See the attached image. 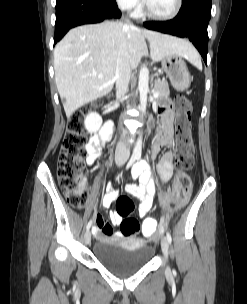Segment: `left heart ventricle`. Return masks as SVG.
I'll return each instance as SVG.
<instances>
[{"label":"left heart ventricle","instance_id":"1","mask_svg":"<svg viewBox=\"0 0 247 304\" xmlns=\"http://www.w3.org/2000/svg\"><path fill=\"white\" fill-rule=\"evenodd\" d=\"M150 10L157 15H167L175 7L176 0H146Z\"/></svg>","mask_w":247,"mask_h":304}]
</instances>
